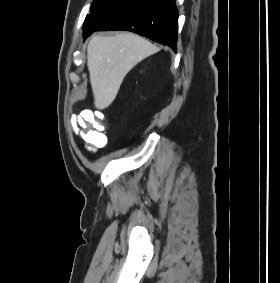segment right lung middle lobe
Returning <instances> with one entry per match:
<instances>
[{
  "label": "right lung middle lobe",
  "mask_w": 280,
  "mask_h": 283,
  "mask_svg": "<svg viewBox=\"0 0 280 283\" xmlns=\"http://www.w3.org/2000/svg\"><path fill=\"white\" fill-rule=\"evenodd\" d=\"M137 0H95L86 16L83 27V37L86 38L106 19Z\"/></svg>",
  "instance_id": "right-lung-middle-lobe-1"
}]
</instances>
